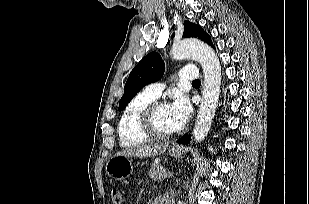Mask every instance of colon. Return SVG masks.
<instances>
[{
  "label": "colon",
  "mask_w": 309,
  "mask_h": 204,
  "mask_svg": "<svg viewBox=\"0 0 309 204\" xmlns=\"http://www.w3.org/2000/svg\"><path fill=\"white\" fill-rule=\"evenodd\" d=\"M112 204H122L123 193L121 190L113 189L111 192Z\"/></svg>",
  "instance_id": "1"
}]
</instances>
